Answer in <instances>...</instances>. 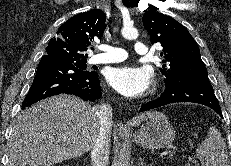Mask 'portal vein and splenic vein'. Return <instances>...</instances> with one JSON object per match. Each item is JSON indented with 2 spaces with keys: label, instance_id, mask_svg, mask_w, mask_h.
Listing matches in <instances>:
<instances>
[{
  "label": "portal vein and splenic vein",
  "instance_id": "1",
  "mask_svg": "<svg viewBox=\"0 0 231 166\" xmlns=\"http://www.w3.org/2000/svg\"><path fill=\"white\" fill-rule=\"evenodd\" d=\"M163 154H165V155H173L174 152L173 151H169V152H164ZM186 166H191V164L187 163Z\"/></svg>",
  "mask_w": 231,
  "mask_h": 166
}]
</instances>
